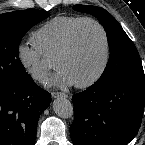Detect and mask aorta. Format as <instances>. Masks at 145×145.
I'll list each match as a JSON object with an SVG mask.
<instances>
[{"label":"aorta","instance_id":"1","mask_svg":"<svg viewBox=\"0 0 145 145\" xmlns=\"http://www.w3.org/2000/svg\"><path fill=\"white\" fill-rule=\"evenodd\" d=\"M53 109L61 118H70L74 114L72 103L64 96H60L54 100Z\"/></svg>","mask_w":145,"mask_h":145}]
</instances>
